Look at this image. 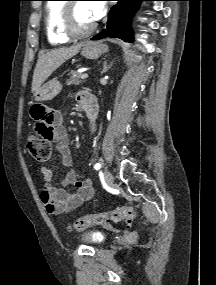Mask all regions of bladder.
<instances>
[{
	"label": "bladder",
	"instance_id": "bladder-1",
	"mask_svg": "<svg viewBox=\"0 0 216 285\" xmlns=\"http://www.w3.org/2000/svg\"><path fill=\"white\" fill-rule=\"evenodd\" d=\"M104 234L100 231H87L81 234L80 239L83 242L98 245L104 241Z\"/></svg>",
	"mask_w": 216,
	"mask_h": 285
}]
</instances>
